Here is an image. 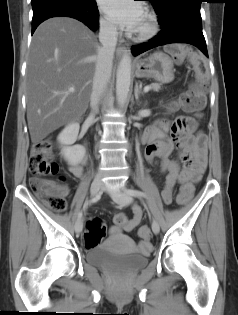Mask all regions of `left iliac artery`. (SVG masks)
<instances>
[{
    "label": "left iliac artery",
    "instance_id": "44dca946",
    "mask_svg": "<svg viewBox=\"0 0 238 315\" xmlns=\"http://www.w3.org/2000/svg\"><path fill=\"white\" fill-rule=\"evenodd\" d=\"M125 192L127 194H129L130 196H133V197H138V198H140V197L146 198L147 197V195L144 192H142L140 190H136V189H125Z\"/></svg>",
    "mask_w": 238,
    "mask_h": 315
}]
</instances>
